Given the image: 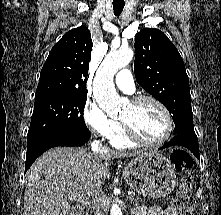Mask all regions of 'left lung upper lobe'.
<instances>
[{"mask_svg": "<svg viewBox=\"0 0 221 215\" xmlns=\"http://www.w3.org/2000/svg\"><path fill=\"white\" fill-rule=\"evenodd\" d=\"M136 81L172 114L174 132L193 133L189 79L174 44L160 30L144 28L135 36Z\"/></svg>", "mask_w": 221, "mask_h": 215, "instance_id": "obj_1", "label": "left lung upper lobe"}]
</instances>
